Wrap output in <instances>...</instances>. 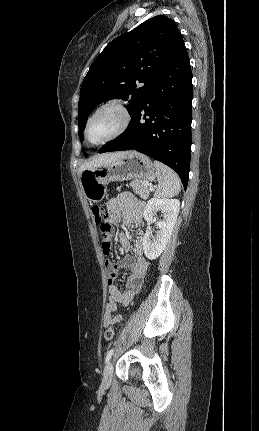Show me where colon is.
Listing matches in <instances>:
<instances>
[{
    "instance_id": "colon-1",
    "label": "colon",
    "mask_w": 259,
    "mask_h": 431,
    "mask_svg": "<svg viewBox=\"0 0 259 431\" xmlns=\"http://www.w3.org/2000/svg\"><path fill=\"white\" fill-rule=\"evenodd\" d=\"M92 214L94 216L95 223L99 228V234L102 242V249L105 256H109L111 250V236L112 226L110 223L103 221V210L100 205L92 206ZM115 336V329L113 326H109L104 333V337L107 341H112Z\"/></svg>"
}]
</instances>
